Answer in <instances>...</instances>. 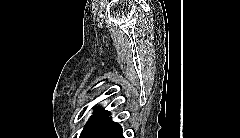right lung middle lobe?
<instances>
[{"label":"right lung middle lobe","instance_id":"dd1d6c3e","mask_svg":"<svg viewBox=\"0 0 240 138\" xmlns=\"http://www.w3.org/2000/svg\"><path fill=\"white\" fill-rule=\"evenodd\" d=\"M109 116L106 115H93L90 117L84 129L80 134V138H87L88 135L99 125H101Z\"/></svg>","mask_w":240,"mask_h":138}]
</instances>
